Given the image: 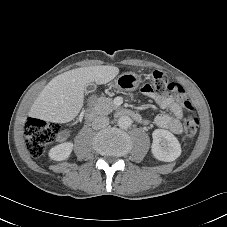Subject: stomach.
<instances>
[{
  "label": "stomach",
  "mask_w": 227,
  "mask_h": 227,
  "mask_svg": "<svg viewBox=\"0 0 227 227\" xmlns=\"http://www.w3.org/2000/svg\"><path fill=\"white\" fill-rule=\"evenodd\" d=\"M140 78L134 72H125L119 75L111 84L112 88L117 91H134L140 85Z\"/></svg>",
  "instance_id": "stomach-1"
}]
</instances>
